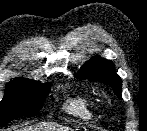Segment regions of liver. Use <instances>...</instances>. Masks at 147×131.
Returning <instances> with one entry per match:
<instances>
[{
	"instance_id": "liver-1",
	"label": "liver",
	"mask_w": 147,
	"mask_h": 131,
	"mask_svg": "<svg viewBox=\"0 0 147 131\" xmlns=\"http://www.w3.org/2000/svg\"><path fill=\"white\" fill-rule=\"evenodd\" d=\"M20 131H73L70 127L53 122L38 123L24 127Z\"/></svg>"
}]
</instances>
